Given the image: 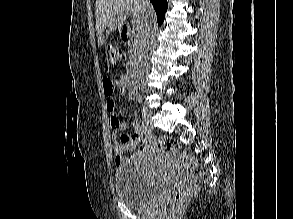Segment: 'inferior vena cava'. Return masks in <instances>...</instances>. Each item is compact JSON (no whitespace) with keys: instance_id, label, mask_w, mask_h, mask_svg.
<instances>
[{"instance_id":"inferior-vena-cava-1","label":"inferior vena cava","mask_w":293,"mask_h":219,"mask_svg":"<svg viewBox=\"0 0 293 219\" xmlns=\"http://www.w3.org/2000/svg\"><path fill=\"white\" fill-rule=\"evenodd\" d=\"M145 5L147 7H150V1L149 0H144ZM151 21L147 19L145 27L143 31L141 32L140 36V42H139V65L137 68V77L142 79L146 73L149 71L150 68V61L148 57V49H149V39H150V34H151Z\"/></svg>"}]
</instances>
